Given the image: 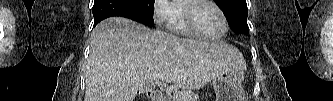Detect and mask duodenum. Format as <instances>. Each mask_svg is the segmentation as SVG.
<instances>
[{
  "instance_id": "1",
  "label": "duodenum",
  "mask_w": 333,
  "mask_h": 101,
  "mask_svg": "<svg viewBox=\"0 0 333 101\" xmlns=\"http://www.w3.org/2000/svg\"><path fill=\"white\" fill-rule=\"evenodd\" d=\"M148 97L152 100V101H163V95L161 92L159 91H150L148 92Z\"/></svg>"
}]
</instances>
